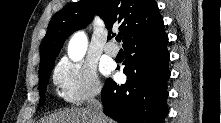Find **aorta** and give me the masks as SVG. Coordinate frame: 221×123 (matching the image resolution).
Segmentation results:
<instances>
[{"label":"aorta","instance_id":"762f6f07","mask_svg":"<svg viewBox=\"0 0 221 123\" xmlns=\"http://www.w3.org/2000/svg\"><path fill=\"white\" fill-rule=\"evenodd\" d=\"M87 36L84 32L75 33L68 45V56L73 61H79L85 55L87 49Z\"/></svg>","mask_w":221,"mask_h":123}]
</instances>
